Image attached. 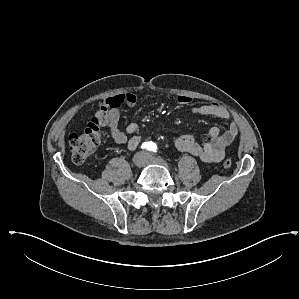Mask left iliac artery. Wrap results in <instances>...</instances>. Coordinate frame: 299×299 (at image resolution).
I'll use <instances>...</instances> for the list:
<instances>
[{
    "mask_svg": "<svg viewBox=\"0 0 299 299\" xmlns=\"http://www.w3.org/2000/svg\"><path fill=\"white\" fill-rule=\"evenodd\" d=\"M149 150L152 152H157V145L154 142H150Z\"/></svg>",
    "mask_w": 299,
    "mask_h": 299,
    "instance_id": "left-iliac-artery-1",
    "label": "left iliac artery"
}]
</instances>
